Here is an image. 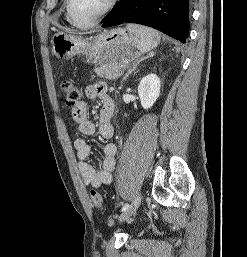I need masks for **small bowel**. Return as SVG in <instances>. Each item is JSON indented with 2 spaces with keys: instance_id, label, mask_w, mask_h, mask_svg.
Listing matches in <instances>:
<instances>
[{
  "instance_id": "obj_1",
  "label": "small bowel",
  "mask_w": 247,
  "mask_h": 257,
  "mask_svg": "<svg viewBox=\"0 0 247 257\" xmlns=\"http://www.w3.org/2000/svg\"><path fill=\"white\" fill-rule=\"evenodd\" d=\"M85 96L91 100L96 98L101 100L102 107L99 113L98 132L104 139L112 138L114 135V127L112 124L114 103L112 98L107 94L106 85L100 82L87 86L85 88ZM72 118L76 122L77 129L81 134L93 135L95 133L96 127L89 119L86 102L80 101L72 107ZM74 148L79 159L78 169L86 185L92 188H99L103 185L111 184L118 151L114 143H108L104 146V157L100 170H95L87 161L91 155V147L83 138H78L74 141Z\"/></svg>"
}]
</instances>
